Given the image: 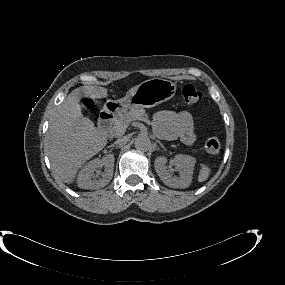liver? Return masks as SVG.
Wrapping results in <instances>:
<instances>
[{"label": "liver", "instance_id": "obj_1", "mask_svg": "<svg viewBox=\"0 0 285 285\" xmlns=\"http://www.w3.org/2000/svg\"><path fill=\"white\" fill-rule=\"evenodd\" d=\"M137 86L128 90L126 95H132ZM107 93V89L101 86L78 87L54 113L47 131L45 149L52 170L65 183H72L82 165L107 144L105 134L83 116L79 104L82 97L101 99L106 98Z\"/></svg>", "mask_w": 285, "mask_h": 285}]
</instances>
